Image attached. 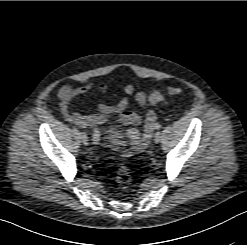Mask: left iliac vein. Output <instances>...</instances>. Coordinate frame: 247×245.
I'll return each instance as SVG.
<instances>
[{
    "label": "left iliac vein",
    "instance_id": "left-iliac-vein-1",
    "mask_svg": "<svg viewBox=\"0 0 247 245\" xmlns=\"http://www.w3.org/2000/svg\"><path fill=\"white\" fill-rule=\"evenodd\" d=\"M160 139H161V134H160V132H157L154 136L155 143H158L160 141Z\"/></svg>",
    "mask_w": 247,
    "mask_h": 245
}]
</instances>
